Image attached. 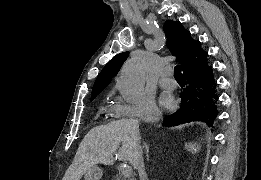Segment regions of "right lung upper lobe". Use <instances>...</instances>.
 Segmentation results:
<instances>
[{"label": "right lung upper lobe", "mask_w": 261, "mask_h": 180, "mask_svg": "<svg viewBox=\"0 0 261 180\" xmlns=\"http://www.w3.org/2000/svg\"><path fill=\"white\" fill-rule=\"evenodd\" d=\"M163 30L167 38V47L177 57L183 72L206 62L207 52L201 49L199 41L191 38L190 32L186 31L180 22L168 20L165 22ZM128 55L129 52L116 55L103 68L94 83L92 97L98 95L110 83Z\"/></svg>", "instance_id": "cb5924a9"}]
</instances>
